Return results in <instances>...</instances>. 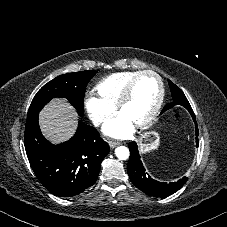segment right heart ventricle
Listing matches in <instances>:
<instances>
[{"instance_id": "1", "label": "right heart ventricle", "mask_w": 227, "mask_h": 227, "mask_svg": "<svg viewBox=\"0 0 227 227\" xmlns=\"http://www.w3.org/2000/svg\"><path fill=\"white\" fill-rule=\"evenodd\" d=\"M139 71H121L103 78L94 88L96 95L110 106L116 103L130 79Z\"/></svg>"}]
</instances>
